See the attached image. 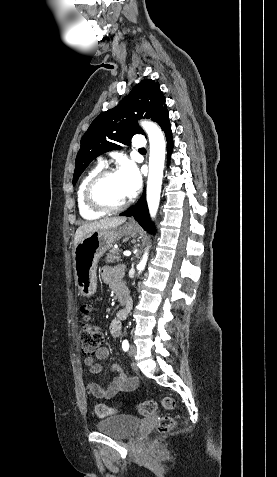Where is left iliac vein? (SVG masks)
<instances>
[{"instance_id":"left-iliac-vein-1","label":"left iliac vein","mask_w":277,"mask_h":477,"mask_svg":"<svg viewBox=\"0 0 277 477\" xmlns=\"http://www.w3.org/2000/svg\"><path fill=\"white\" fill-rule=\"evenodd\" d=\"M128 355L130 357H134L136 355V347L134 345H130L128 349ZM133 368L137 370V367L135 365H133Z\"/></svg>"}]
</instances>
